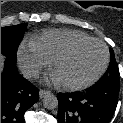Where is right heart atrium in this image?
<instances>
[{
	"label": "right heart atrium",
	"mask_w": 123,
	"mask_h": 123,
	"mask_svg": "<svg viewBox=\"0 0 123 123\" xmlns=\"http://www.w3.org/2000/svg\"><path fill=\"white\" fill-rule=\"evenodd\" d=\"M17 59L22 72L29 79L37 78L50 65V61L30 45L20 46Z\"/></svg>",
	"instance_id": "d8ad5b80"
}]
</instances>
